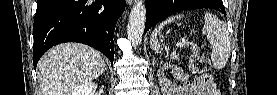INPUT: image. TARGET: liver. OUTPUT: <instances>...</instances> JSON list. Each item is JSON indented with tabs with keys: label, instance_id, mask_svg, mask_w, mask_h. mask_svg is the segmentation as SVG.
Returning <instances> with one entry per match:
<instances>
[{
	"label": "liver",
	"instance_id": "1",
	"mask_svg": "<svg viewBox=\"0 0 277 95\" xmlns=\"http://www.w3.org/2000/svg\"><path fill=\"white\" fill-rule=\"evenodd\" d=\"M42 95H71L105 71L101 54L86 45L66 43L48 50L38 62Z\"/></svg>",
	"mask_w": 277,
	"mask_h": 95
}]
</instances>
